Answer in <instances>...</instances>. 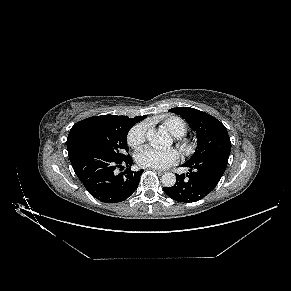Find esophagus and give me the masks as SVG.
Returning <instances> with one entry per match:
<instances>
[{
	"mask_svg": "<svg viewBox=\"0 0 291 291\" xmlns=\"http://www.w3.org/2000/svg\"><path fill=\"white\" fill-rule=\"evenodd\" d=\"M153 170L156 171L159 175L164 174V171H162V170H157V169H153Z\"/></svg>",
	"mask_w": 291,
	"mask_h": 291,
	"instance_id": "obj_1",
	"label": "esophagus"
}]
</instances>
